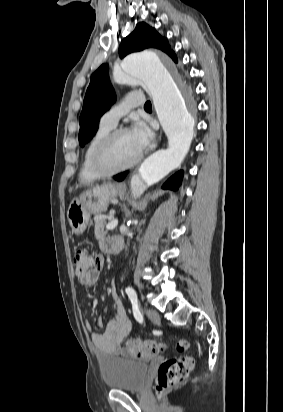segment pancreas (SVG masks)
<instances>
[{"instance_id":"pancreas-1","label":"pancreas","mask_w":283,"mask_h":412,"mask_svg":"<svg viewBox=\"0 0 283 412\" xmlns=\"http://www.w3.org/2000/svg\"><path fill=\"white\" fill-rule=\"evenodd\" d=\"M106 225H107V222L105 218L98 217L97 219H95L94 232H95L96 239H101L107 233V231L105 230Z\"/></svg>"}]
</instances>
